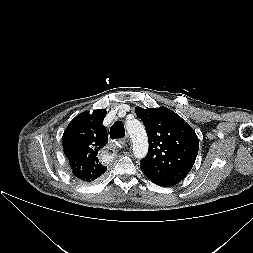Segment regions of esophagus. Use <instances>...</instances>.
Listing matches in <instances>:
<instances>
[{"mask_svg":"<svg viewBox=\"0 0 253 253\" xmlns=\"http://www.w3.org/2000/svg\"><path fill=\"white\" fill-rule=\"evenodd\" d=\"M126 142H129V136L128 135H126V137L124 139V143H126Z\"/></svg>","mask_w":253,"mask_h":253,"instance_id":"1","label":"esophagus"}]
</instances>
